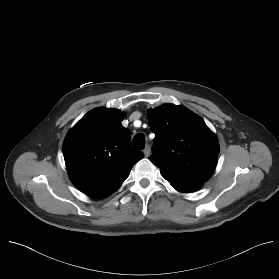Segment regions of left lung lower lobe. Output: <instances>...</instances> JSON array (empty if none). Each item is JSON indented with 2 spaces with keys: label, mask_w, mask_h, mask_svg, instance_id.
<instances>
[{
  "label": "left lung lower lobe",
  "mask_w": 279,
  "mask_h": 279,
  "mask_svg": "<svg viewBox=\"0 0 279 279\" xmlns=\"http://www.w3.org/2000/svg\"><path fill=\"white\" fill-rule=\"evenodd\" d=\"M160 172L163 178L166 179L172 185V187H174L179 192H194L200 189L203 185V182L181 178L163 171Z\"/></svg>",
  "instance_id": "1"
}]
</instances>
